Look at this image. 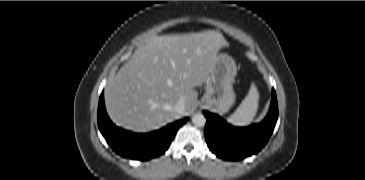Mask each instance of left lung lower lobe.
I'll return each instance as SVG.
<instances>
[{
  "label": "left lung lower lobe",
  "mask_w": 365,
  "mask_h": 180,
  "mask_svg": "<svg viewBox=\"0 0 365 180\" xmlns=\"http://www.w3.org/2000/svg\"><path fill=\"white\" fill-rule=\"evenodd\" d=\"M206 116L205 139L209 149L225 160H239L256 154L268 142L278 119L275 90L265 119L255 125L238 128L226 123L218 115L203 111Z\"/></svg>",
  "instance_id": "left-lung-lower-lobe-1"
}]
</instances>
